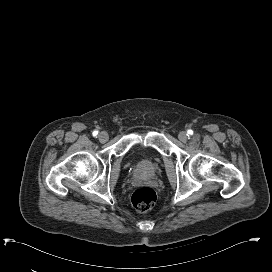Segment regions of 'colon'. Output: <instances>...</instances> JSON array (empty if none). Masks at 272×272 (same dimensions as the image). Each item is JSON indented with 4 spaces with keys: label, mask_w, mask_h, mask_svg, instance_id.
Instances as JSON below:
<instances>
[{
    "label": "colon",
    "mask_w": 272,
    "mask_h": 272,
    "mask_svg": "<svg viewBox=\"0 0 272 272\" xmlns=\"http://www.w3.org/2000/svg\"><path fill=\"white\" fill-rule=\"evenodd\" d=\"M156 199V192L152 188L142 187L133 192L131 203L136 211L144 213L152 208Z\"/></svg>",
    "instance_id": "colon-1"
}]
</instances>
